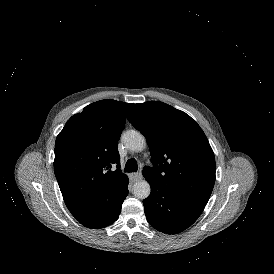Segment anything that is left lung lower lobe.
Returning a JSON list of instances; mask_svg holds the SVG:
<instances>
[{
  "label": "left lung lower lobe",
  "mask_w": 274,
  "mask_h": 274,
  "mask_svg": "<svg viewBox=\"0 0 274 274\" xmlns=\"http://www.w3.org/2000/svg\"><path fill=\"white\" fill-rule=\"evenodd\" d=\"M150 195L143 200L147 221L160 232L176 234L192 225L201 215L206 200L188 197L147 179Z\"/></svg>",
  "instance_id": "0a47b994"
}]
</instances>
